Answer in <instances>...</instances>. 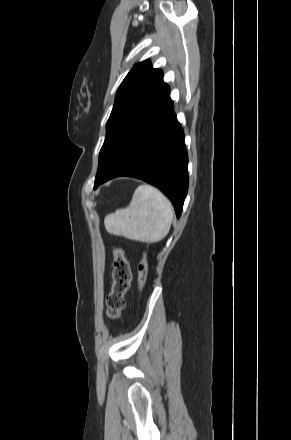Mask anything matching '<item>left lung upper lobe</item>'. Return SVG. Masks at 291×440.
Here are the masks:
<instances>
[{"instance_id":"left-lung-upper-lobe-1","label":"left lung upper lobe","mask_w":291,"mask_h":440,"mask_svg":"<svg viewBox=\"0 0 291 440\" xmlns=\"http://www.w3.org/2000/svg\"><path fill=\"white\" fill-rule=\"evenodd\" d=\"M167 86L163 81L162 71L154 69L149 60L137 63L129 71L117 91L106 125V137L100 150L98 169L123 131Z\"/></svg>"}]
</instances>
